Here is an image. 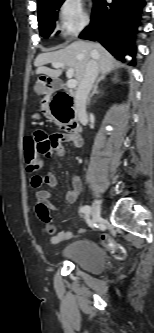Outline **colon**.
<instances>
[{
  "label": "colon",
  "instance_id": "colon-1",
  "mask_svg": "<svg viewBox=\"0 0 154 333\" xmlns=\"http://www.w3.org/2000/svg\"><path fill=\"white\" fill-rule=\"evenodd\" d=\"M72 104V99L66 93H58L52 101V109L59 111L57 113V120L60 125L67 131L70 132L68 125L69 116L65 113ZM23 153L26 167L29 171H34L39 166V156L36 148V141L34 137L27 136L23 140ZM103 244L109 249L111 254L119 260L125 258L126 252L124 247L116 242L110 235L104 234L101 237Z\"/></svg>",
  "mask_w": 154,
  "mask_h": 333
}]
</instances>
